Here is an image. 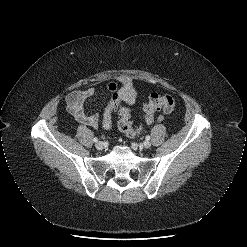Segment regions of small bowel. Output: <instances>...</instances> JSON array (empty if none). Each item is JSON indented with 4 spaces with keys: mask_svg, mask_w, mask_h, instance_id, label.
<instances>
[{
    "mask_svg": "<svg viewBox=\"0 0 247 247\" xmlns=\"http://www.w3.org/2000/svg\"><path fill=\"white\" fill-rule=\"evenodd\" d=\"M107 90L111 93H119L118 84L114 81L107 85ZM96 92L93 87H88L82 90H74L70 92L66 97L67 109L69 113L77 120L91 127H98L100 122V116L98 114H89L85 111L83 103L87 97L92 96Z\"/></svg>",
    "mask_w": 247,
    "mask_h": 247,
    "instance_id": "c3829d8e",
    "label": "small bowel"
}]
</instances>
